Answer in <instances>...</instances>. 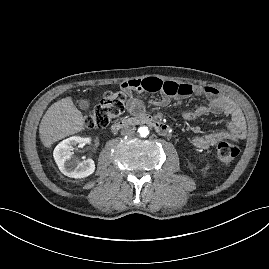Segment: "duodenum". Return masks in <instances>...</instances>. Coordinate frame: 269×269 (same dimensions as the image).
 Masks as SVG:
<instances>
[{
	"mask_svg": "<svg viewBox=\"0 0 269 269\" xmlns=\"http://www.w3.org/2000/svg\"><path fill=\"white\" fill-rule=\"evenodd\" d=\"M138 124L151 125L161 135H167L170 132V128L167 124L147 114H137L136 116L133 117L118 120L112 124L111 130L117 132L124 127L134 126Z\"/></svg>",
	"mask_w": 269,
	"mask_h": 269,
	"instance_id": "duodenum-1",
	"label": "duodenum"
}]
</instances>
